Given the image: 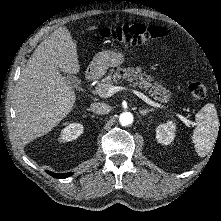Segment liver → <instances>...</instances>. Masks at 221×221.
Wrapping results in <instances>:
<instances>
[{"mask_svg": "<svg viewBox=\"0 0 221 221\" xmlns=\"http://www.w3.org/2000/svg\"><path fill=\"white\" fill-rule=\"evenodd\" d=\"M60 71H80L77 45L66 27L45 38L21 72L14 103L16 127L23 142L48 133L74 108V90Z\"/></svg>", "mask_w": 221, "mask_h": 221, "instance_id": "1", "label": "liver"}]
</instances>
